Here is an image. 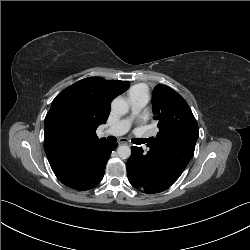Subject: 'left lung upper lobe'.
Returning <instances> with one entry per match:
<instances>
[{"instance_id":"obj_1","label":"left lung upper lobe","mask_w":250,"mask_h":250,"mask_svg":"<svg viewBox=\"0 0 250 250\" xmlns=\"http://www.w3.org/2000/svg\"><path fill=\"white\" fill-rule=\"evenodd\" d=\"M152 103L159 132L156 137L150 138L151 143L178 142L180 148L192 145L191 142L196 143L198 124L181 95L168 86L158 84L153 90Z\"/></svg>"}]
</instances>
